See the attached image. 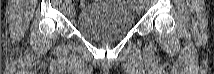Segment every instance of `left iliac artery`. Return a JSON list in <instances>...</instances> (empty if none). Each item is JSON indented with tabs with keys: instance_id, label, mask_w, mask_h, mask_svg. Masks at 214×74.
Listing matches in <instances>:
<instances>
[{
	"instance_id": "left-iliac-artery-1",
	"label": "left iliac artery",
	"mask_w": 214,
	"mask_h": 74,
	"mask_svg": "<svg viewBox=\"0 0 214 74\" xmlns=\"http://www.w3.org/2000/svg\"><path fill=\"white\" fill-rule=\"evenodd\" d=\"M138 2H139V3H142V0H139Z\"/></svg>"
}]
</instances>
